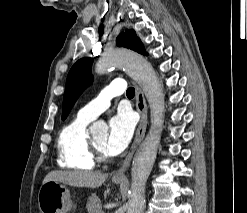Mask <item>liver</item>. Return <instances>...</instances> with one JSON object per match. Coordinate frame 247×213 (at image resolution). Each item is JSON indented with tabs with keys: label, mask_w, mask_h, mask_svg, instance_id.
I'll return each mask as SVG.
<instances>
[{
	"label": "liver",
	"mask_w": 247,
	"mask_h": 213,
	"mask_svg": "<svg viewBox=\"0 0 247 213\" xmlns=\"http://www.w3.org/2000/svg\"><path fill=\"white\" fill-rule=\"evenodd\" d=\"M108 178L107 173L92 171H51L43 180L60 182L75 187L98 188Z\"/></svg>",
	"instance_id": "1"
}]
</instances>
